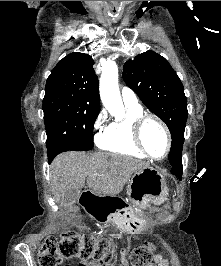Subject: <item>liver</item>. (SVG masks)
Returning <instances> with one entry per match:
<instances>
[{
	"mask_svg": "<svg viewBox=\"0 0 221 266\" xmlns=\"http://www.w3.org/2000/svg\"><path fill=\"white\" fill-rule=\"evenodd\" d=\"M149 163L133 157L106 152H66L51 164L52 194L59 201L68 189H107L119 194L133 173L148 167Z\"/></svg>",
	"mask_w": 221,
	"mask_h": 266,
	"instance_id": "6515ba94",
	"label": "liver"
}]
</instances>
